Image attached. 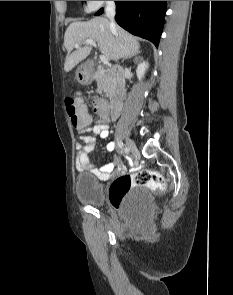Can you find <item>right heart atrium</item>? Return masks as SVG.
Wrapping results in <instances>:
<instances>
[{"label": "right heart atrium", "mask_w": 233, "mask_h": 295, "mask_svg": "<svg viewBox=\"0 0 233 295\" xmlns=\"http://www.w3.org/2000/svg\"><path fill=\"white\" fill-rule=\"evenodd\" d=\"M105 2L108 1H85V10L87 12H93L98 10Z\"/></svg>", "instance_id": "d8ad5b80"}]
</instances>
